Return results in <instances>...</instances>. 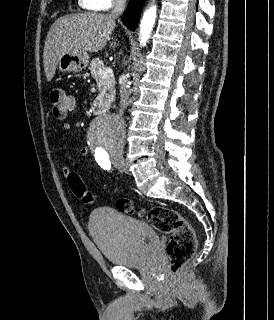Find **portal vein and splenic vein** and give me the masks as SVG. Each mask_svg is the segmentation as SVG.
<instances>
[{
  "label": "portal vein and splenic vein",
  "instance_id": "obj_1",
  "mask_svg": "<svg viewBox=\"0 0 274 320\" xmlns=\"http://www.w3.org/2000/svg\"><path fill=\"white\" fill-rule=\"evenodd\" d=\"M112 74L113 70H111V68H102V70H99V76H101L102 80H104V78H110Z\"/></svg>",
  "mask_w": 274,
  "mask_h": 320
}]
</instances>
